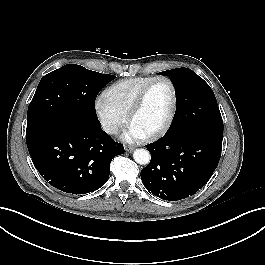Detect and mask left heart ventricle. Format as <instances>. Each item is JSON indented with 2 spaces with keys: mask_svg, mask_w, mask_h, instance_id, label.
I'll return each instance as SVG.
<instances>
[{
  "mask_svg": "<svg viewBox=\"0 0 265 265\" xmlns=\"http://www.w3.org/2000/svg\"><path fill=\"white\" fill-rule=\"evenodd\" d=\"M172 104V92L166 81H157L150 88L145 102L131 122L145 135L158 129L166 120Z\"/></svg>",
  "mask_w": 265,
  "mask_h": 265,
  "instance_id": "b2bd125f",
  "label": "left heart ventricle"
}]
</instances>
